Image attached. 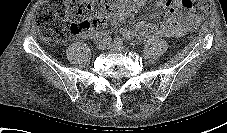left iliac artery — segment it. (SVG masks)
Wrapping results in <instances>:
<instances>
[{"label":"left iliac artery","instance_id":"left-iliac-artery-1","mask_svg":"<svg viewBox=\"0 0 227 133\" xmlns=\"http://www.w3.org/2000/svg\"><path fill=\"white\" fill-rule=\"evenodd\" d=\"M114 43L116 45H122L123 44V39L121 37H116L114 40Z\"/></svg>","mask_w":227,"mask_h":133}]
</instances>
